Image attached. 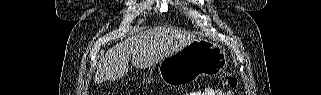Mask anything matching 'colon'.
Instances as JSON below:
<instances>
[{
	"label": "colon",
	"mask_w": 321,
	"mask_h": 95,
	"mask_svg": "<svg viewBox=\"0 0 321 95\" xmlns=\"http://www.w3.org/2000/svg\"><path fill=\"white\" fill-rule=\"evenodd\" d=\"M220 84L224 86L234 87L237 85V79L230 73H222L219 76Z\"/></svg>",
	"instance_id": "5ec220e1"
}]
</instances>
